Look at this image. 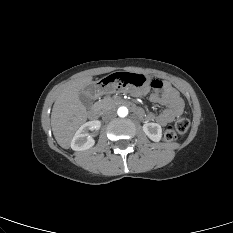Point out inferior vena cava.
I'll return each instance as SVG.
<instances>
[{"instance_id": "1", "label": "inferior vena cava", "mask_w": 233, "mask_h": 233, "mask_svg": "<svg viewBox=\"0 0 233 233\" xmlns=\"http://www.w3.org/2000/svg\"><path fill=\"white\" fill-rule=\"evenodd\" d=\"M116 117V112L114 110H108V111H105L103 116H102V119L104 121H108V120H111L113 118Z\"/></svg>"}]
</instances>
